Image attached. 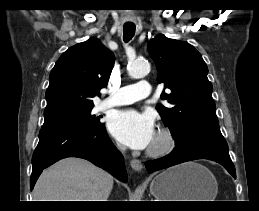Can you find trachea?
<instances>
[{"mask_svg":"<svg viewBox=\"0 0 259 211\" xmlns=\"http://www.w3.org/2000/svg\"><path fill=\"white\" fill-rule=\"evenodd\" d=\"M123 28H124L123 39L125 42H129L135 34V25L134 24H125L123 26Z\"/></svg>","mask_w":259,"mask_h":211,"instance_id":"trachea-1","label":"trachea"}]
</instances>
